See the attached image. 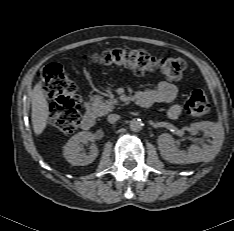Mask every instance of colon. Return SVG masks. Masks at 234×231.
<instances>
[{"label": "colon", "mask_w": 234, "mask_h": 231, "mask_svg": "<svg viewBox=\"0 0 234 231\" xmlns=\"http://www.w3.org/2000/svg\"><path fill=\"white\" fill-rule=\"evenodd\" d=\"M91 58L101 65L131 69L139 76L159 74L169 81L180 80L186 68V62L181 57H156L137 50H107L93 54ZM40 78L45 95L53 100L49 124L62 133L72 134L78 128L81 113L75 83L56 63L46 65L40 72ZM185 110L194 117L205 115L209 111L205 92L192 90Z\"/></svg>", "instance_id": "1"}]
</instances>
